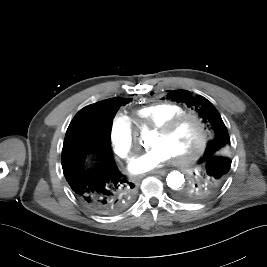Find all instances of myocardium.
<instances>
[{
  "label": "myocardium",
  "instance_id": "myocardium-1",
  "mask_svg": "<svg viewBox=\"0 0 267 267\" xmlns=\"http://www.w3.org/2000/svg\"><path fill=\"white\" fill-rule=\"evenodd\" d=\"M188 119L193 120L197 124L199 129V139L193 151L190 152L188 155L173 157L175 162L180 165L191 163L196 158H198L204 151L207 144V130L204 121L200 116L195 113L185 112L166 120L158 127H156L157 133L161 135H167L175 128H177L183 121Z\"/></svg>",
  "mask_w": 267,
  "mask_h": 267
}]
</instances>
